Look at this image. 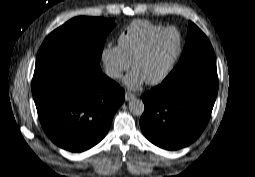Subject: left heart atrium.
Here are the masks:
<instances>
[{
  "label": "left heart atrium",
  "mask_w": 255,
  "mask_h": 177,
  "mask_svg": "<svg viewBox=\"0 0 255 177\" xmlns=\"http://www.w3.org/2000/svg\"><path fill=\"white\" fill-rule=\"evenodd\" d=\"M145 78L136 70H132L124 79V85L130 90H138L145 83Z\"/></svg>",
  "instance_id": "obj_1"
}]
</instances>
